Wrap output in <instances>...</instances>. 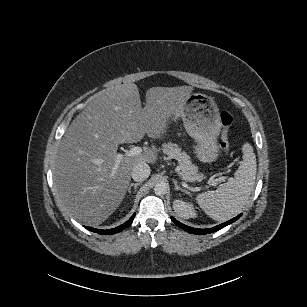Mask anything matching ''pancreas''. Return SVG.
<instances>
[{
    "label": "pancreas",
    "instance_id": "cf45deb5",
    "mask_svg": "<svg viewBox=\"0 0 307 307\" xmlns=\"http://www.w3.org/2000/svg\"><path fill=\"white\" fill-rule=\"evenodd\" d=\"M161 152L173 156L181 164L182 167L179 177L183 178V180L200 182L206 178L203 173H199V168L195 164H192L190 155L182 150V146L172 141H168L167 143L162 144Z\"/></svg>",
    "mask_w": 307,
    "mask_h": 307
}]
</instances>
